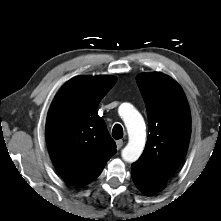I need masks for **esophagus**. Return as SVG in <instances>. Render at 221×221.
Here are the masks:
<instances>
[{"label": "esophagus", "mask_w": 221, "mask_h": 221, "mask_svg": "<svg viewBox=\"0 0 221 221\" xmlns=\"http://www.w3.org/2000/svg\"><path fill=\"white\" fill-rule=\"evenodd\" d=\"M124 145V142L122 140H117L116 141V146H117V149H121Z\"/></svg>", "instance_id": "34e87169"}]
</instances>
